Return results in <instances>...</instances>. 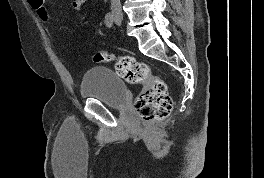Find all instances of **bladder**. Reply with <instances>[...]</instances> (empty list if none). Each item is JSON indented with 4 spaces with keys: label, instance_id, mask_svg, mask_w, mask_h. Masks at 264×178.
Here are the masks:
<instances>
[{
    "label": "bladder",
    "instance_id": "31cf9c89",
    "mask_svg": "<svg viewBox=\"0 0 264 178\" xmlns=\"http://www.w3.org/2000/svg\"><path fill=\"white\" fill-rule=\"evenodd\" d=\"M81 96L96 99L110 108H123L129 99L127 88L118 74L108 67L88 69L80 84Z\"/></svg>",
    "mask_w": 264,
    "mask_h": 178
}]
</instances>
